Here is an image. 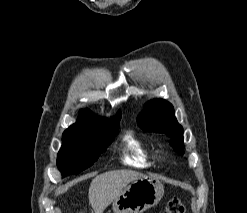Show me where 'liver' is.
<instances>
[{
    "instance_id": "6515ba94",
    "label": "liver",
    "mask_w": 247,
    "mask_h": 213,
    "mask_svg": "<svg viewBox=\"0 0 247 213\" xmlns=\"http://www.w3.org/2000/svg\"><path fill=\"white\" fill-rule=\"evenodd\" d=\"M146 177L132 170H116L97 175L89 187V203L95 213H103L131 182Z\"/></svg>"
}]
</instances>
